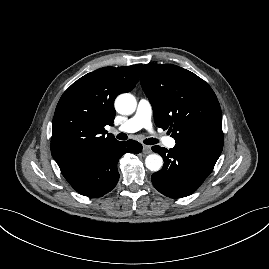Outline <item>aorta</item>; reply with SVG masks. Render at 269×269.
I'll list each match as a JSON object with an SVG mask.
<instances>
[{
  "label": "aorta",
  "instance_id": "1",
  "mask_svg": "<svg viewBox=\"0 0 269 269\" xmlns=\"http://www.w3.org/2000/svg\"><path fill=\"white\" fill-rule=\"evenodd\" d=\"M137 102L133 95L124 93L115 100L116 111L122 115H130L136 110ZM146 167L153 171H159L163 166V159L159 154H150L145 159Z\"/></svg>",
  "mask_w": 269,
  "mask_h": 269
}]
</instances>
